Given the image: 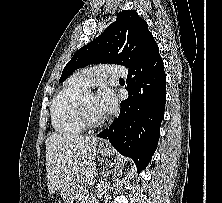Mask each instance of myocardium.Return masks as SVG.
Instances as JSON below:
<instances>
[{
  "label": "myocardium",
  "instance_id": "f54148a6",
  "mask_svg": "<svg viewBox=\"0 0 222 203\" xmlns=\"http://www.w3.org/2000/svg\"><path fill=\"white\" fill-rule=\"evenodd\" d=\"M86 95L87 94H83L78 103V112H79L80 119L82 123L85 125V127L93 128V127L100 126L102 123H104L105 118L102 117L99 119H93L89 116L88 112L86 111L85 102H84Z\"/></svg>",
  "mask_w": 222,
  "mask_h": 203
}]
</instances>
